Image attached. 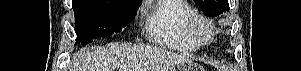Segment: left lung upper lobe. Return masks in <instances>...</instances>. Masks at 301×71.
<instances>
[{"instance_id":"left-lung-upper-lobe-1","label":"left lung upper lobe","mask_w":301,"mask_h":71,"mask_svg":"<svg viewBox=\"0 0 301 71\" xmlns=\"http://www.w3.org/2000/svg\"><path fill=\"white\" fill-rule=\"evenodd\" d=\"M207 16H218L229 11L228 0H194Z\"/></svg>"}]
</instances>
